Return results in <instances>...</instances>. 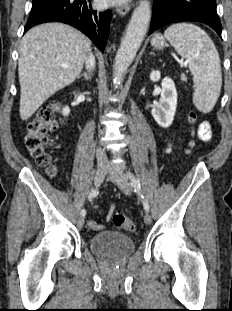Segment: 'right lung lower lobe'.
Masks as SVG:
<instances>
[{"label":"right lung lower lobe","instance_id":"obj_1","mask_svg":"<svg viewBox=\"0 0 232 311\" xmlns=\"http://www.w3.org/2000/svg\"><path fill=\"white\" fill-rule=\"evenodd\" d=\"M91 0H33L24 33L45 22L67 23L85 35L104 51L112 17L110 10L99 12L89 4Z\"/></svg>","mask_w":232,"mask_h":311}]
</instances>
